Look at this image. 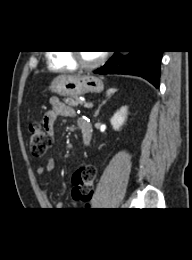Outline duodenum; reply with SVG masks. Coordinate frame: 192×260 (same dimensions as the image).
Wrapping results in <instances>:
<instances>
[{"label":"duodenum","mask_w":192,"mask_h":260,"mask_svg":"<svg viewBox=\"0 0 192 260\" xmlns=\"http://www.w3.org/2000/svg\"><path fill=\"white\" fill-rule=\"evenodd\" d=\"M79 127L82 133V139L85 145H88L92 137V125L91 122L85 118L79 120Z\"/></svg>","instance_id":"obj_1"}]
</instances>
